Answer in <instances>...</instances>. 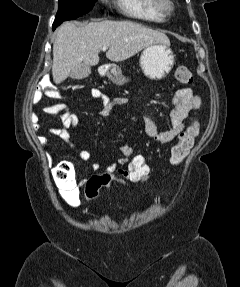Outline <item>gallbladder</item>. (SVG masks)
Listing matches in <instances>:
<instances>
[{"label": "gallbladder", "instance_id": "obj_1", "mask_svg": "<svg viewBox=\"0 0 240 287\" xmlns=\"http://www.w3.org/2000/svg\"><path fill=\"white\" fill-rule=\"evenodd\" d=\"M90 73H91L90 65L81 63L70 72V77L72 79L80 80L88 77Z\"/></svg>", "mask_w": 240, "mask_h": 287}]
</instances>
